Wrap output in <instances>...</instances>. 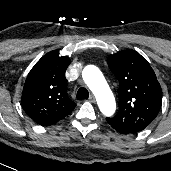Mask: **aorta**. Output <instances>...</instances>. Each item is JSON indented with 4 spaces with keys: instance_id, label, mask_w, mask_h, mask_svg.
I'll return each instance as SVG.
<instances>
[{
    "instance_id": "obj_1",
    "label": "aorta",
    "mask_w": 171,
    "mask_h": 171,
    "mask_svg": "<svg viewBox=\"0 0 171 171\" xmlns=\"http://www.w3.org/2000/svg\"><path fill=\"white\" fill-rule=\"evenodd\" d=\"M82 77L94 93L100 111L105 116H112L116 110L115 98L99 68L94 65L86 66L82 71Z\"/></svg>"
}]
</instances>
